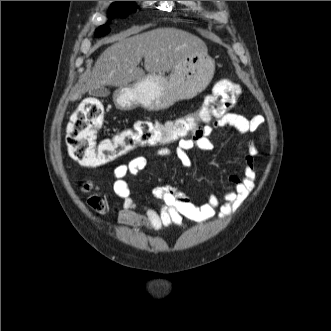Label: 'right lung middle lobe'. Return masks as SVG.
Instances as JSON below:
<instances>
[{
  "label": "right lung middle lobe",
  "mask_w": 331,
  "mask_h": 331,
  "mask_svg": "<svg viewBox=\"0 0 331 331\" xmlns=\"http://www.w3.org/2000/svg\"><path fill=\"white\" fill-rule=\"evenodd\" d=\"M134 9V4L131 1L115 2L110 7L109 15L112 17L118 16L124 18L128 15V13L134 11ZM108 32H110V28L107 25H102L96 30L95 36L101 37L106 35Z\"/></svg>",
  "instance_id": "1"
}]
</instances>
